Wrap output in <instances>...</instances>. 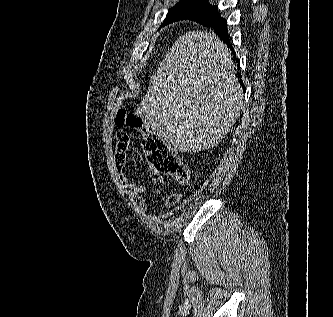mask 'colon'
Segmentation results:
<instances>
[{
	"mask_svg": "<svg viewBox=\"0 0 333 317\" xmlns=\"http://www.w3.org/2000/svg\"><path fill=\"white\" fill-rule=\"evenodd\" d=\"M116 125L141 132L143 149L149 163L158 171L173 177L178 183L182 185L189 183L190 175L186 165L177 157L170 145L145 125L139 115L120 110L116 116Z\"/></svg>",
	"mask_w": 333,
	"mask_h": 317,
	"instance_id": "1",
	"label": "colon"
}]
</instances>
